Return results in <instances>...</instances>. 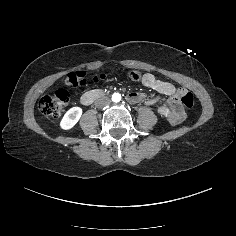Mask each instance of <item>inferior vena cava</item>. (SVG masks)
<instances>
[{
  "instance_id": "inferior-vena-cava-1",
  "label": "inferior vena cava",
  "mask_w": 236,
  "mask_h": 236,
  "mask_svg": "<svg viewBox=\"0 0 236 236\" xmlns=\"http://www.w3.org/2000/svg\"><path fill=\"white\" fill-rule=\"evenodd\" d=\"M111 104V100L108 97H102L95 101V107L103 108Z\"/></svg>"
}]
</instances>
